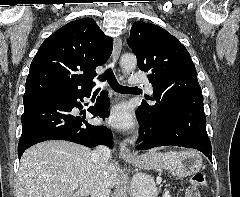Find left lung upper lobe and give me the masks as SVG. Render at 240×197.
Segmentation results:
<instances>
[{"label": "left lung upper lobe", "instance_id": "obj_1", "mask_svg": "<svg viewBox=\"0 0 240 197\" xmlns=\"http://www.w3.org/2000/svg\"><path fill=\"white\" fill-rule=\"evenodd\" d=\"M128 45L137 56L140 70L149 72L154 89L152 100L165 104L183 92L202 96L189 52L165 29L136 22L132 25ZM142 104L150 106L146 102Z\"/></svg>", "mask_w": 240, "mask_h": 197}]
</instances>
